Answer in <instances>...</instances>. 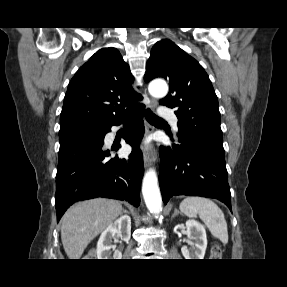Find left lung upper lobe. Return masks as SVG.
<instances>
[{"mask_svg":"<svg viewBox=\"0 0 287 287\" xmlns=\"http://www.w3.org/2000/svg\"><path fill=\"white\" fill-rule=\"evenodd\" d=\"M163 77L170 91L159 103L175 109L178 138L224 153L218 98L209 76L193 57L168 39L155 43L144 80Z\"/></svg>","mask_w":287,"mask_h":287,"instance_id":"left-lung-upper-lobe-1","label":"left lung upper lobe"}]
</instances>
